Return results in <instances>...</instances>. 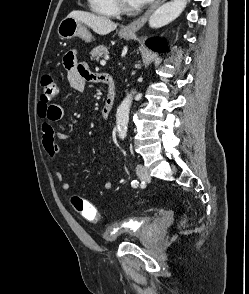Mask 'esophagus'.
I'll use <instances>...</instances> for the list:
<instances>
[{
	"label": "esophagus",
	"instance_id": "1",
	"mask_svg": "<svg viewBox=\"0 0 249 294\" xmlns=\"http://www.w3.org/2000/svg\"><path fill=\"white\" fill-rule=\"evenodd\" d=\"M165 1L166 0H156V2L140 18L124 26L122 31L129 34H134L146 23L151 14Z\"/></svg>",
	"mask_w": 249,
	"mask_h": 294
}]
</instances>
